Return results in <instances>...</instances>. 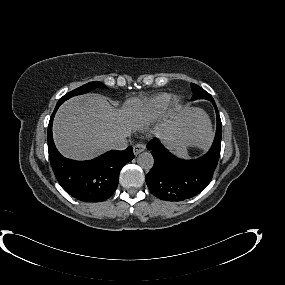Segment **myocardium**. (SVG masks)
<instances>
[{
  "label": "myocardium",
  "mask_w": 285,
  "mask_h": 285,
  "mask_svg": "<svg viewBox=\"0 0 285 285\" xmlns=\"http://www.w3.org/2000/svg\"><path fill=\"white\" fill-rule=\"evenodd\" d=\"M173 110L177 109L180 106V100L178 98H172L170 105Z\"/></svg>",
  "instance_id": "myocardium-1"
}]
</instances>
